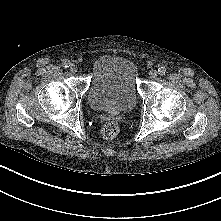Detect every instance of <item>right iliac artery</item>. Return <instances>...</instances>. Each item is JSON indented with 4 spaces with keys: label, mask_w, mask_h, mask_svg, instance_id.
<instances>
[{
    "label": "right iliac artery",
    "mask_w": 221,
    "mask_h": 221,
    "mask_svg": "<svg viewBox=\"0 0 221 221\" xmlns=\"http://www.w3.org/2000/svg\"><path fill=\"white\" fill-rule=\"evenodd\" d=\"M62 65L63 67L68 68L71 65V63L69 60H63Z\"/></svg>",
    "instance_id": "right-iliac-artery-1"
}]
</instances>
